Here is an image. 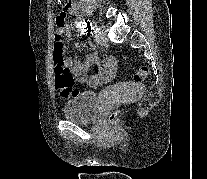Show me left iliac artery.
Wrapping results in <instances>:
<instances>
[{
	"label": "left iliac artery",
	"instance_id": "left-iliac-artery-1",
	"mask_svg": "<svg viewBox=\"0 0 207 179\" xmlns=\"http://www.w3.org/2000/svg\"><path fill=\"white\" fill-rule=\"evenodd\" d=\"M88 28L91 29V31H95L96 32V25L94 22H90L88 25Z\"/></svg>",
	"mask_w": 207,
	"mask_h": 179
}]
</instances>
